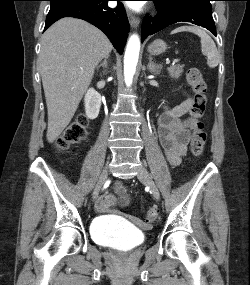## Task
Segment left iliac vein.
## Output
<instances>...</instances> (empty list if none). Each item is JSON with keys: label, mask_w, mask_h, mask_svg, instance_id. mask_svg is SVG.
Segmentation results:
<instances>
[{"label": "left iliac vein", "mask_w": 250, "mask_h": 285, "mask_svg": "<svg viewBox=\"0 0 250 285\" xmlns=\"http://www.w3.org/2000/svg\"><path fill=\"white\" fill-rule=\"evenodd\" d=\"M137 178L149 187L153 197L156 200L160 199L159 190L145 167L141 166L139 168Z\"/></svg>", "instance_id": "obj_1"}]
</instances>
